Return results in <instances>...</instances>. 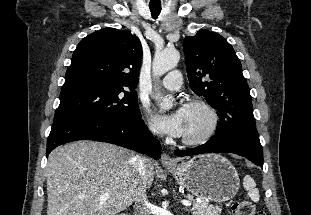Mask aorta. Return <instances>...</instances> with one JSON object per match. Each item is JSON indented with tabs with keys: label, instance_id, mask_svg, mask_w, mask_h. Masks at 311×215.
<instances>
[{
	"label": "aorta",
	"instance_id": "aorta-1",
	"mask_svg": "<svg viewBox=\"0 0 311 215\" xmlns=\"http://www.w3.org/2000/svg\"><path fill=\"white\" fill-rule=\"evenodd\" d=\"M180 59L179 52L175 49L163 50L155 54L152 63V73L155 77H160L171 69L175 68ZM159 99V94L155 96ZM160 107L162 110H168L173 105L171 97L161 98Z\"/></svg>",
	"mask_w": 311,
	"mask_h": 215
}]
</instances>
